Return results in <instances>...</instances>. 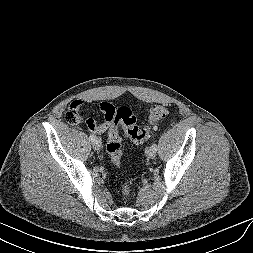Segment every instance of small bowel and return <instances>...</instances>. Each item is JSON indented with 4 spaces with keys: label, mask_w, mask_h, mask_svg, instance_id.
<instances>
[{
    "label": "small bowel",
    "mask_w": 253,
    "mask_h": 253,
    "mask_svg": "<svg viewBox=\"0 0 253 253\" xmlns=\"http://www.w3.org/2000/svg\"><path fill=\"white\" fill-rule=\"evenodd\" d=\"M100 113L103 116V122L96 123L93 120L92 125H87L88 128L95 134L104 133L112 126L114 107L108 103H103L100 106Z\"/></svg>",
    "instance_id": "1"
}]
</instances>
